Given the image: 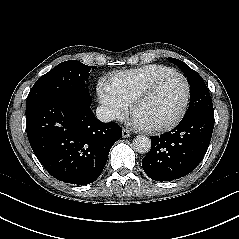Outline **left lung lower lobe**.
<instances>
[{
    "label": "left lung lower lobe",
    "mask_w": 239,
    "mask_h": 239,
    "mask_svg": "<svg viewBox=\"0 0 239 239\" xmlns=\"http://www.w3.org/2000/svg\"><path fill=\"white\" fill-rule=\"evenodd\" d=\"M214 111L183 117L163 135L151 137V150L142 159L145 173L155 181H172L192 172L210 144Z\"/></svg>",
    "instance_id": "1"
}]
</instances>
